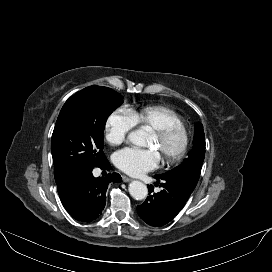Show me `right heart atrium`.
Returning <instances> with one entry per match:
<instances>
[{"instance_id": "right-heart-atrium-1", "label": "right heart atrium", "mask_w": 272, "mask_h": 272, "mask_svg": "<svg viewBox=\"0 0 272 272\" xmlns=\"http://www.w3.org/2000/svg\"><path fill=\"white\" fill-rule=\"evenodd\" d=\"M131 114L124 108L110 113L104 124V139L113 146L122 144L134 128Z\"/></svg>"}]
</instances>
